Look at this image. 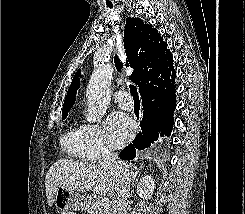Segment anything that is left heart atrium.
I'll list each match as a JSON object with an SVG mask.
<instances>
[{
    "mask_svg": "<svg viewBox=\"0 0 245 214\" xmlns=\"http://www.w3.org/2000/svg\"><path fill=\"white\" fill-rule=\"evenodd\" d=\"M106 136L112 148L125 145L134 135L135 124L132 119L123 112L111 113L105 123Z\"/></svg>",
    "mask_w": 245,
    "mask_h": 214,
    "instance_id": "left-heart-atrium-1",
    "label": "left heart atrium"
}]
</instances>
